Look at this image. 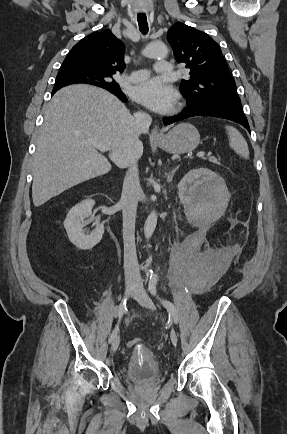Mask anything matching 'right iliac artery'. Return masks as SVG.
Wrapping results in <instances>:
<instances>
[{
	"label": "right iliac artery",
	"mask_w": 287,
	"mask_h": 434,
	"mask_svg": "<svg viewBox=\"0 0 287 434\" xmlns=\"http://www.w3.org/2000/svg\"><path fill=\"white\" fill-rule=\"evenodd\" d=\"M148 276V275H147ZM144 279H139L135 284H133L132 286V290H134L136 287H139L143 284ZM126 303H127V297L125 296L120 305H119V309H118V317H119V321L118 324L116 325V327L114 328V330L112 331L110 337H109V341H113L115 339V337L117 336V333L119 331V323L123 317V315L126 313L127 311V307H126Z\"/></svg>",
	"instance_id": "obj_1"
}]
</instances>
